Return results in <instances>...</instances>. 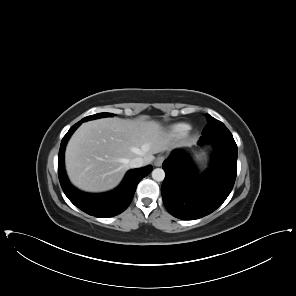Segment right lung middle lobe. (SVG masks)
<instances>
[{
  "instance_id": "dd1d6c3e",
  "label": "right lung middle lobe",
  "mask_w": 296,
  "mask_h": 296,
  "mask_svg": "<svg viewBox=\"0 0 296 296\" xmlns=\"http://www.w3.org/2000/svg\"><path fill=\"white\" fill-rule=\"evenodd\" d=\"M112 116H114V114H112V113H98V114H95V115L85 117L79 122L82 123L84 121H88V120H92V119H97V118H102V117H112Z\"/></svg>"
}]
</instances>
